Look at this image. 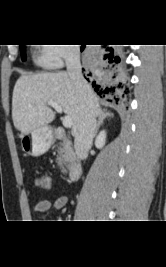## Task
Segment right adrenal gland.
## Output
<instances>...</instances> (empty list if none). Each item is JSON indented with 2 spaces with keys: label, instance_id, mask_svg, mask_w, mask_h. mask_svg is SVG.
I'll list each match as a JSON object with an SVG mask.
<instances>
[{
  "label": "right adrenal gland",
  "instance_id": "right-adrenal-gland-1",
  "mask_svg": "<svg viewBox=\"0 0 166 267\" xmlns=\"http://www.w3.org/2000/svg\"><path fill=\"white\" fill-rule=\"evenodd\" d=\"M113 117V113L108 112V111H103L98 115V121L96 124V130H95V135L98 133L99 128L103 125L105 119Z\"/></svg>",
  "mask_w": 166,
  "mask_h": 267
}]
</instances>
